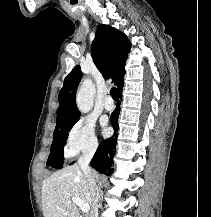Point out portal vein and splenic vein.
I'll list each match as a JSON object with an SVG mask.
<instances>
[{
  "mask_svg": "<svg viewBox=\"0 0 211 217\" xmlns=\"http://www.w3.org/2000/svg\"><path fill=\"white\" fill-rule=\"evenodd\" d=\"M72 202L76 204L83 213H87L89 211V205L84 203L80 198L73 197Z\"/></svg>",
  "mask_w": 211,
  "mask_h": 217,
  "instance_id": "1",
  "label": "portal vein and splenic vein"
}]
</instances>
